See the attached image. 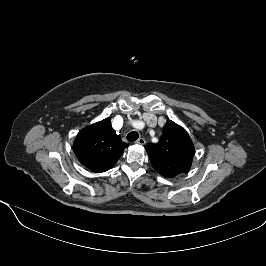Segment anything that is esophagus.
<instances>
[{"mask_svg": "<svg viewBox=\"0 0 266 266\" xmlns=\"http://www.w3.org/2000/svg\"><path fill=\"white\" fill-rule=\"evenodd\" d=\"M137 144L139 145H144L146 143L145 139L144 138H139L137 141H136Z\"/></svg>", "mask_w": 266, "mask_h": 266, "instance_id": "esophagus-1", "label": "esophagus"}]
</instances>
